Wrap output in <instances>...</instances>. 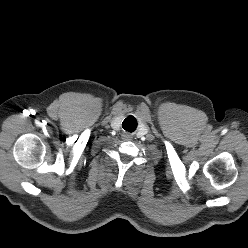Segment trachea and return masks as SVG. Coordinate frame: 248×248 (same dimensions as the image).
Here are the masks:
<instances>
[{"label": "trachea", "instance_id": "1", "mask_svg": "<svg viewBox=\"0 0 248 248\" xmlns=\"http://www.w3.org/2000/svg\"><path fill=\"white\" fill-rule=\"evenodd\" d=\"M122 127L124 128V130L129 131V132H133L136 127H137V121L134 117L130 116L127 117L123 123H122Z\"/></svg>", "mask_w": 248, "mask_h": 248}]
</instances>
